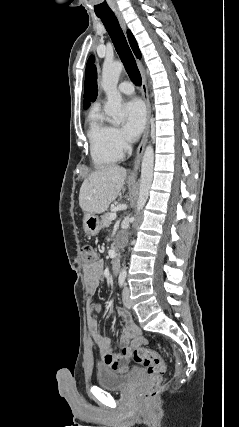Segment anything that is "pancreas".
Instances as JSON below:
<instances>
[{"label":"pancreas","mask_w":239,"mask_h":427,"mask_svg":"<svg viewBox=\"0 0 239 427\" xmlns=\"http://www.w3.org/2000/svg\"><path fill=\"white\" fill-rule=\"evenodd\" d=\"M110 214L111 213H105L103 216H102V226L103 227H109V225L111 224V220H110V218H109V216H110Z\"/></svg>","instance_id":"pancreas-1"}]
</instances>
